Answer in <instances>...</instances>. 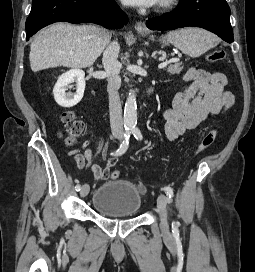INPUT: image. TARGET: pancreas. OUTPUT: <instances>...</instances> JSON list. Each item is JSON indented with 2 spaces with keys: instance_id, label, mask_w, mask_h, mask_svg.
Instances as JSON below:
<instances>
[{
  "instance_id": "pancreas-1",
  "label": "pancreas",
  "mask_w": 255,
  "mask_h": 272,
  "mask_svg": "<svg viewBox=\"0 0 255 272\" xmlns=\"http://www.w3.org/2000/svg\"><path fill=\"white\" fill-rule=\"evenodd\" d=\"M183 69L182 63H175L174 65H169L167 68V72L170 75L179 74Z\"/></svg>"
}]
</instances>
